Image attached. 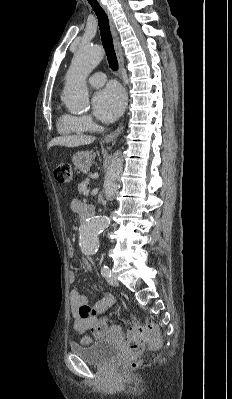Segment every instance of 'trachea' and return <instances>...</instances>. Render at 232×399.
Wrapping results in <instances>:
<instances>
[{
  "mask_svg": "<svg viewBox=\"0 0 232 399\" xmlns=\"http://www.w3.org/2000/svg\"><path fill=\"white\" fill-rule=\"evenodd\" d=\"M88 2L95 11L98 18L101 41L106 52L109 66L112 70L116 71L118 70V61L114 51L108 17L103 8L97 2V0H88Z\"/></svg>",
  "mask_w": 232,
  "mask_h": 399,
  "instance_id": "1",
  "label": "trachea"
}]
</instances>
